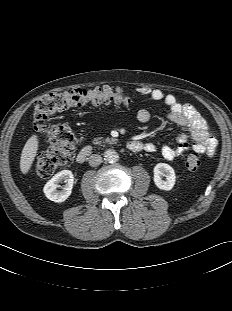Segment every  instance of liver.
Here are the masks:
<instances>
[{
    "label": "liver",
    "mask_w": 232,
    "mask_h": 311,
    "mask_svg": "<svg viewBox=\"0 0 232 311\" xmlns=\"http://www.w3.org/2000/svg\"><path fill=\"white\" fill-rule=\"evenodd\" d=\"M39 146V140L37 135H32L26 142L21 158H20V170L23 174H27L33 164L36 157Z\"/></svg>",
    "instance_id": "6515ba94"
}]
</instances>
